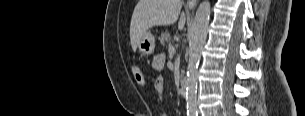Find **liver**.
<instances>
[{
	"label": "liver",
	"mask_w": 305,
	"mask_h": 116,
	"mask_svg": "<svg viewBox=\"0 0 305 116\" xmlns=\"http://www.w3.org/2000/svg\"><path fill=\"white\" fill-rule=\"evenodd\" d=\"M183 0H139L130 24V40L135 52L143 35L154 26H168L174 24L180 15ZM186 22L182 13L178 28L183 29Z\"/></svg>",
	"instance_id": "1"
}]
</instances>
